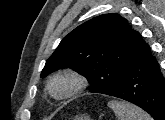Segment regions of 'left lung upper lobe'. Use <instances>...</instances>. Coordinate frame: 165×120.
Returning a JSON list of instances; mask_svg holds the SVG:
<instances>
[{"label": "left lung upper lobe", "instance_id": "left-lung-upper-lobe-1", "mask_svg": "<svg viewBox=\"0 0 165 120\" xmlns=\"http://www.w3.org/2000/svg\"><path fill=\"white\" fill-rule=\"evenodd\" d=\"M141 41L138 31L116 13L97 16L75 28L46 61L41 77L71 68L89 81V92L108 94L123 79L124 71Z\"/></svg>", "mask_w": 165, "mask_h": 120}]
</instances>
